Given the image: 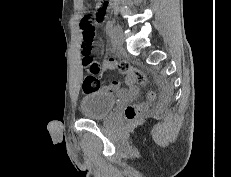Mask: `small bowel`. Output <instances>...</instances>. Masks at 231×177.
<instances>
[{
	"mask_svg": "<svg viewBox=\"0 0 231 177\" xmlns=\"http://www.w3.org/2000/svg\"><path fill=\"white\" fill-rule=\"evenodd\" d=\"M109 0H99V3L96 7V11L94 13V21L96 23H100L104 19V15L106 12V9L108 8ZM114 64L111 63L109 60H105L102 64V70L106 71L108 69H113ZM133 80L130 77L126 78V84L133 89ZM120 88V84L117 81H113L108 87V90H118Z\"/></svg>",
	"mask_w": 231,
	"mask_h": 177,
	"instance_id": "1",
	"label": "small bowel"
}]
</instances>
